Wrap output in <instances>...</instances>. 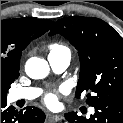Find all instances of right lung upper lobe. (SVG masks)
Returning <instances> with one entry per match:
<instances>
[{
    "mask_svg": "<svg viewBox=\"0 0 123 123\" xmlns=\"http://www.w3.org/2000/svg\"><path fill=\"white\" fill-rule=\"evenodd\" d=\"M53 21L47 19L16 18L1 20V94L19 76L22 50L47 32Z\"/></svg>",
    "mask_w": 123,
    "mask_h": 123,
    "instance_id": "cb5924a9",
    "label": "right lung upper lobe"
}]
</instances>
